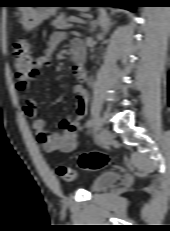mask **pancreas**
<instances>
[{
  "label": "pancreas",
  "mask_w": 170,
  "mask_h": 231,
  "mask_svg": "<svg viewBox=\"0 0 170 231\" xmlns=\"http://www.w3.org/2000/svg\"><path fill=\"white\" fill-rule=\"evenodd\" d=\"M51 25L57 29H66L72 27V24L68 23L64 13L59 14L51 23Z\"/></svg>",
  "instance_id": "cf45deb5"
}]
</instances>
